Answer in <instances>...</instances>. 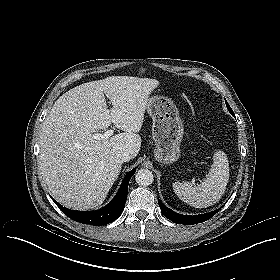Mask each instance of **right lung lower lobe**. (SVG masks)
<instances>
[{
    "label": "right lung lower lobe",
    "mask_w": 280,
    "mask_h": 280,
    "mask_svg": "<svg viewBox=\"0 0 280 280\" xmlns=\"http://www.w3.org/2000/svg\"><path fill=\"white\" fill-rule=\"evenodd\" d=\"M135 171L136 169H133L127 173L113 200L102 209L87 212L73 211L63 207L55 200L54 202L69 218L77 222L95 226L111 223L123 212L127 199L128 184Z\"/></svg>",
    "instance_id": "right-lung-lower-lobe-1"
}]
</instances>
